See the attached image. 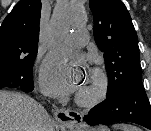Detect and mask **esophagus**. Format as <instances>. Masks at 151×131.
Returning a JSON list of instances; mask_svg holds the SVG:
<instances>
[{"mask_svg": "<svg viewBox=\"0 0 151 131\" xmlns=\"http://www.w3.org/2000/svg\"><path fill=\"white\" fill-rule=\"evenodd\" d=\"M56 119L67 128L75 129L82 122V115L75 110L58 109L55 112Z\"/></svg>", "mask_w": 151, "mask_h": 131, "instance_id": "obj_1", "label": "esophagus"}]
</instances>
